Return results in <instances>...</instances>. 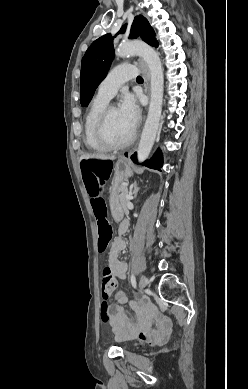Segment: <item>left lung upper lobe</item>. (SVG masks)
I'll return each instance as SVG.
<instances>
[{
  "label": "left lung upper lobe",
  "instance_id": "obj_1",
  "mask_svg": "<svg viewBox=\"0 0 248 389\" xmlns=\"http://www.w3.org/2000/svg\"><path fill=\"white\" fill-rule=\"evenodd\" d=\"M126 25L118 32L124 33ZM141 37L146 43L157 47L155 32L142 15L136 16L131 26L129 38ZM114 57L113 37L106 34L95 40L86 51L81 62L80 102L87 106L93 97L95 89L106 77Z\"/></svg>",
  "mask_w": 248,
  "mask_h": 389
}]
</instances>
